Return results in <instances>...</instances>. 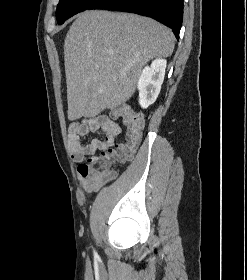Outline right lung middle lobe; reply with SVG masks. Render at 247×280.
Segmentation results:
<instances>
[{
	"instance_id": "obj_1",
	"label": "right lung middle lobe",
	"mask_w": 247,
	"mask_h": 280,
	"mask_svg": "<svg viewBox=\"0 0 247 280\" xmlns=\"http://www.w3.org/2000/svg\"><path fill=\"white\" fill-rule=\"evenodd\" d=\"M97 1L99 0H60L56 11L58 24L61 25L66 19L89 9Z\"/></svg>"
}]
</instances>
